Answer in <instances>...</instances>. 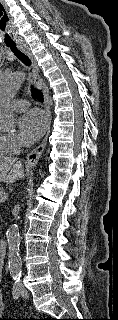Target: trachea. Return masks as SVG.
<instances>
[{"label": "trachea", "instance_id": "trachea-1", "mask_svg": "<svg viewBox=\"0 0 118 320\" xmlns=\"http://www.w3.org/2000/svg\"><path fill=\"white\" fill-rule=\"evenodd\" d=\"M8 47L17 56V58L20 59L26 66H30V59L22 51H20L16 45H9ZM31 91L32 96L35 97L39 102L44 101L43 94L41 91L34 88H32Z\"/></svg>", "mask_w": 118, "mask_h": 320}]
</instances>
